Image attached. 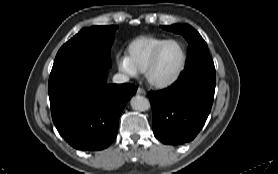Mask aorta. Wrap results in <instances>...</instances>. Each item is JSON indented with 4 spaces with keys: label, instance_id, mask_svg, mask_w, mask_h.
<instances>
[{
    "label": "aorta",
    "instance_id": "762f6f07",
    "mask_svg": "<svg viewBox=\"0 0 278 174\" xmlns=\"http://www.w3.org/2000/svg\"><path fill=\"white\" fill-rule=\"evenodd\" d=\"M131 107L137 111H147L150 108V103L147 98L135 95L130 100Z\"/></svg>",
    "mask_w": 278,
    "mask_h": 174
}]
</instances>
